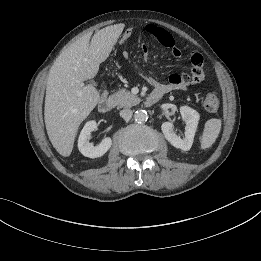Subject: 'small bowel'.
Instances as JSON below:
<instances>
[{
  "label": "small bowel",
  "mask_w": 261,
  "mask_h": 261,
  "mask_svg": "<svg viewBox=\"0 0 261 261\" xmlns=\"http://www.w3.org/2000/svg\"><path fill=\"white\" fill-rule=\"evenodd\" d=\"M145 29L151 37L167 47L173 56H181V51L176 46L174 38L169 32L153 24H148ZM141 46L144 56L147 57V44L145 42H142ZM191 62L192 67L190 74H172L170 75L167 83H162L154 78H149L148 81L151 85L154 86V91L161 92L162 95L174 90H186L189 85H194L202 81L204 75L202 57L198 52H194L192 54Z\"/></svg>",
  "instance_id": "small-bowel-1"
}]
</instances>
